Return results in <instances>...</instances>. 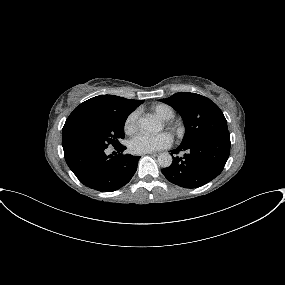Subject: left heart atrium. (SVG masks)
I'll list each match as a JSON object with an SVG mask.
<instances>
[{
    "instance_id": "39dd6f15",
    "label": "left heart atrium",
    "mask_w": 285,
    "mask_h": 285,
    "mask_svg": "<svg viewBox=\"0 0 285 285\" xmlns=\"http://www.w3.org/2000/svg\"><path fill=\"white\" fill-rule=\"evenodd\" d=\"M170 144L171 140L167 134L150 135L141 133L130 141L129 148L135 154H145L168 147Z\"/></svg>"
}]
</instances>
